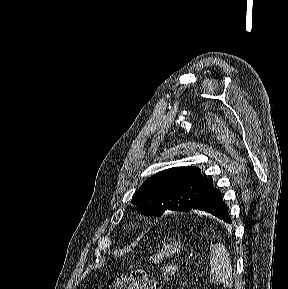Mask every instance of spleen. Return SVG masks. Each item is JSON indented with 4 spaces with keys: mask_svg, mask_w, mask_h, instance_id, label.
<instances>
[{
    "mask_svg": "<svg viewBox=\"0 0 288 289\" xmlns=\"http://www.w3.org/2000/svg\"><path fill=\"white\" fill-rule=\"evenodd\" d=\"M210 267L212 279L217 283L232 281V264L227 249L219 243L210 246Z\"/></svg>",
    "mask_w": 288,
    "mask_h": 289,
    "instance_id": "spleen-1",
    "label": "spleen"
}]
</instances>
